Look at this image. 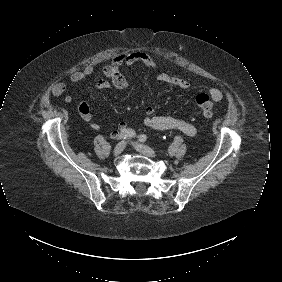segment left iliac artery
I'll list each match as a JSON object with an SVG mask.
<instances>
[{
    "instance_id": "1",
    "label": "left iliac artery",
    "mask_w": 282,
    "mask_h": 282,
    "mask_svg": "<svg viewBox=\"0 0 282 282\" xmlns=\"http://www.w3.org/2000/svg\"><path fill=\"white\" fill-rule=\"evenodd\" d=\"M139 141H140V142H145V141H147V136H146L145 134L140 135V136H139Z\"/></svg>"
}]
</instances>
